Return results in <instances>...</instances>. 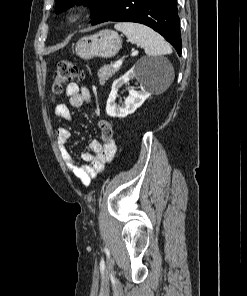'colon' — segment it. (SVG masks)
Listing matches in <instances>:
<instances>
[{
	"label": "colon",
	"instance_id": "obj_1",
	"mask_svg": "<svg viewBox=\"0 0 247 296\" xmlns=\"http://www.w3.org/2000/svg\"><path fill=\"white\" fill-rule=\"evenodd\" d=\"M79 77H81V71L76 64L71 61H61L58 64L57 72L53 80L52 93L54 95H61L64 91V86ZM99 128L102 141L105 144H110L114 136L113 125L106 120H101L99 122Z\"/></svg>",
	"mask_w": 247,
	"mask_h": 296
}]
</instances>
